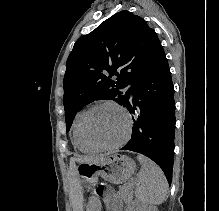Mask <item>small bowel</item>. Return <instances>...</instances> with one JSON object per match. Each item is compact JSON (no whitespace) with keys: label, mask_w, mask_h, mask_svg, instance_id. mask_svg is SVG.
<instances>
[{"label":"small bowel","mask_w":219,"mask_h":211,"mask_svg":"<svg viewBox=\"0 0 219 211\" xmlns=\"http://www.w3.org/2000/svg\"><path fill=\"white\" fill-rule=\"evenodd\" d=\"M102 198L107 211H121V201L112 189H105L102 193Z\"/></svg>","instance_id":"c3829d8e"}]
</instances>
